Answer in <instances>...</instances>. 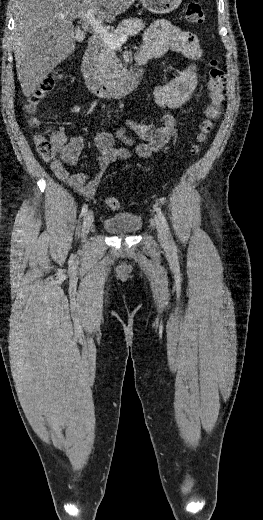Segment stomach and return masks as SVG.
<instances>
[{
    "label": "stomach",
    "mask_w": 263,
    "mask_h": 520,
    "mask_svg": "<svg viewBox=\"0 0 263 520\" xmlns=\"http://www.w3.org/2000/svg\"><path fill=\"white\" fill-rule=\"evenodd\" d=\"M143 6L151 13L166 14L174 11L182 0H141Z\"/></svg>",
    "instance_id": "0dacf381"
}]
</instances>
